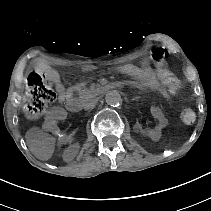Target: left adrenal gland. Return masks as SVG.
Returning a JSON list of instances; mask_svg holds the SVG:
<instances>
[{
    "instance_id": "obj_1",
    "label": "left adrenal gland",
    "mask_w": 211,
    "mask_h": 211,
    "mask_svg": "<svg viewBox=\"0 0 211 211\" xmlns=\"http://www.w3.org/2000/svg\"><path fill=\"white\" fill-rule=\"evenodd\" d=\"M138 98H140V97H136L135 100L138 99ZM133 100H134V99H133Z\"/></svg>"
}]
</instances>
